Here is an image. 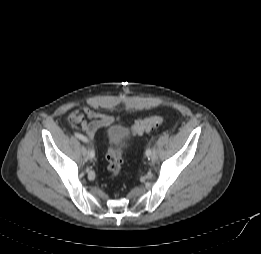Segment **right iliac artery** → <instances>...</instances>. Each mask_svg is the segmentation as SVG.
<instances>
[{
	"mask_svg": "<svg viewBox=\"0 0 261 254\" xmlns=\"http://www.w3.org/2000/svg\"><path fill=\"white\" fill-rule=\"evenodd\" d=\"M74 135H75V137H77L81 141L89 144V140L85 136H83L82 134L75 132ZM89 156L92 157V158L95 156V152H94L93 149H89Z\"/></svg>",
	"mask_w": 261,
	"mask_h": 254,
	"instance_id": "right-iliac-artery-1",
	"label": "right iliac artery"
}]
</instances>
